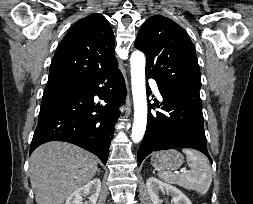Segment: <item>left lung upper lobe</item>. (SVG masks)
<instances>
[{"label": "left lung upper lobe", "mask_w": 253, "mask_h": 204, "mask_svg": "<svg viewBox=\"0 0 253 204\" xmlns=\"http://www.w3.org/2000/svg\"><path fill=\"white\" fill-rule=\"evenodd\" d=\"M134 46L147 57L146 76L170 91L199 94L200 69L195 47L186 31L162 15L147 19Z\"/></svg>", "instance_id": "1"}]
</instances>
